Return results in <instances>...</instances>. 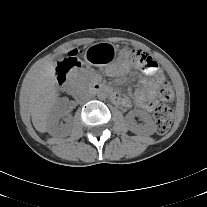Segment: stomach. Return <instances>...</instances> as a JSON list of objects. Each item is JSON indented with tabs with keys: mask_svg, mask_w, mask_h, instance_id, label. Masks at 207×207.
Returning a JSON list of instances; mask_svg holds the SVG:
<instances>
[{
	"mask_svg": "<svg viewBox=\"0 0 207 207\" xmlns=\"http://www.w3.org/2000/svg\"><path fill=\"white\" fill-rule=\"evenodd\" d=\"M85 57L90 64L105 68L116 62V52L113 45L105 42L90 46Z\"/></svg>",
	"mask_w": 207,
	"mask_h": 207,
	"instance_id": "obj_1",
	"label": "stomach"
}]
</instances>
